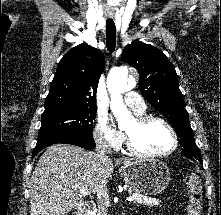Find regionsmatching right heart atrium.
<instances>
[{
    "mask_svg": "<svg viewBox=\"0 0 221 215\" xmlns=\"http://www.w3.org/2000/svg\"><path fill=\"white\" fill-rule=\"evenodd\" d=\"M94 139L101 146L117 149L124 137L110 125L107 117L99 116L94 129Z\"/></svg>",
    "mask_w": 221,
    "mask_h": 215,
    "instance_id": "1",
    "label": "right heart atrium"
}]
</instances>
